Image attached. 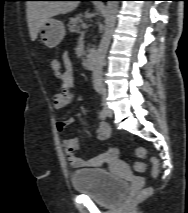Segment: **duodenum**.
I'll list each match as a JSON object with an SVG mask.
<instances>
[{
	"mask_svg": "<svg viewBox=\"0 0 188 213\" xmlns=\"http://www.w3.org/2000/svg\"><path fill=\"white\" fill-rule=\"evenodd\" d=\"M96 62V54L91 53L86 59L84 60V68L87 70H93L95 67Z\"/></svg>",
	"mask_w": 188,
	"mask_h": 213,
	"instance_id": "1",
	"label": "duodenum"
}]
</instances>
